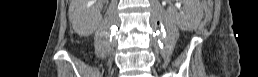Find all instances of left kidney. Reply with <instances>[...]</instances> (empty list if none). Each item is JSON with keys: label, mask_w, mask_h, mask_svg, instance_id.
Returning <instances> with one entry per match:
<instances>
[{"label": "left kidney", "mask_w": 258, "mask_h": 77, "mask_svg": "<svg viewBox=\"0 0 258 77\" xmlns=\"http://www.w3.org/2000/svg\"><path fill=\"white\" fill-rule=\"evenodd\" d=\"M188 2V1H184ZM194 11L191 10L189 7L185 9V12L182 14H178L176 19L181 27L187 28L194 22Z\"/></svg>", "instance_id": "obj_1"}]
</instances>
